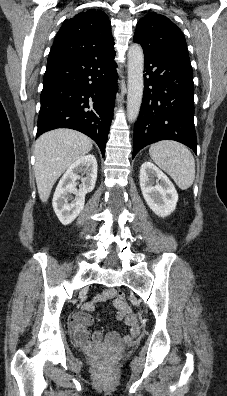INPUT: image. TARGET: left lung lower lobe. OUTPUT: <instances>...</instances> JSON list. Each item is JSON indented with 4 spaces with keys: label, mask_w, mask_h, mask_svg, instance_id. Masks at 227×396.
<instances>
[{
    "label": "left lung lower lobe",
    "mask_w": 227,
    "mask_h": 396,
    "mask_svg": "<svg viewBox=\"0 0 227 396\" xmlns=\"http://www.w3.org/2000/svg\"><path fill=\"white\" fill-rule=\"evenodd\" d=\"M144 96L134 128L133 158L145 146L175 140L195 153L194 83L190 61L144 50Z\"/></svg>",
    "instance_id": "1"
}]
</instances>
